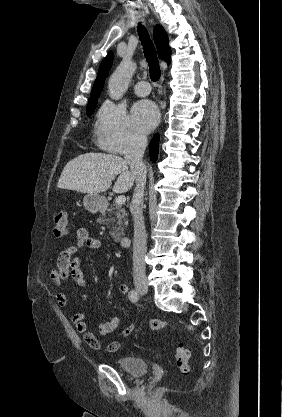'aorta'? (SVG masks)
Returning a JSON list of instances; mask_svg holds the SVG:
<instances>
[{
	"label": "aorta",
	"mask_w": 282,
	"mask_h": 417,
	"mask_svg": "<svg viewBox=\"0 0 282 417\" xmlns=\"http://www.w3.org/2000/svg\"><path fill=\"white\" fill-rule=\"evenodd\" d=\"M136 68L137 64L136 62H133L131 58H122L120 64H118L116 70L112 72L108 80V92L110 98H113V100L122 98Z\"/></svg>",
	"instance_id": "762f6f07"
}]
</instances>
